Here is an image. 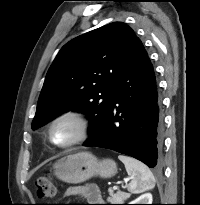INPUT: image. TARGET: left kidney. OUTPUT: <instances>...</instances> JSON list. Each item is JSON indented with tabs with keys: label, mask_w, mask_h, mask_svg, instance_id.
<instances>
[{
	"label": "left kidney",
	"mask_w": 200,
	"mask_h": 205,
	"mask_svg": "<svg viewBox=\"0 0 200 205\" xmlns=\"http://www.w3.org/2000/svg\"><path fill=\"white\" fill-rule=\"evenodd\" d=\"M129 204H152V194L145 193L139 196L137 199L133 200Z\"/></svg>",
	"instance_id": "5707ae66"
}]
</instances>
